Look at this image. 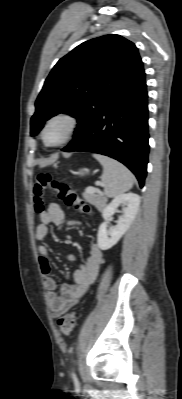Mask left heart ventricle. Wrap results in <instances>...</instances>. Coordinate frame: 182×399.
<instances>
[{
    "label": "left heart ventricle",
    "instance_id": "obj_1",
    "mask_svg": "<svg viewBox=\"0 0 182 399\" xmlns=\"http://www.w3.org/2000/svg\"><path fill=\"white\" fill-rule=\"evenodd\" d=\"M66 133V124L61 121L52 123L46 131V141L49 144H56L60 142Z\"/></svg>",
    "mask_w": 182,
    "mask_h": 399
}]
</instances>
